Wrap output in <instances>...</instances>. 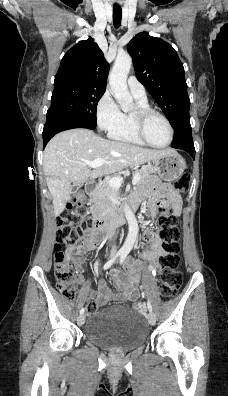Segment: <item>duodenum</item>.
Segmentation results:
<instances>
[{"label":"duodenum","mask_w":228,"mask_h":396,"mask_svg":"<svg viewBox=\"0 0 228 396\" xmlns=\"http://www.w3.org/2000/svg\"><path fill=\"white\" fill-rule=\"evenodd\" d=\"M89 196L94 194V186L89 185L87 189ZM138 204L132 201L125 206L111 207L113 215L107 218H98L96 220V228L102 234H115L119 225H121L126 218L128 209H136Z\"/></svg>","instance_id":"410a0bca"}]
</instances>
